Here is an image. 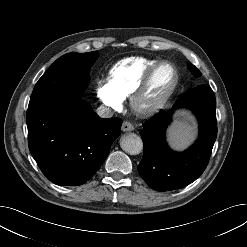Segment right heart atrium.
<instances>
[{"instance_id":"1","label":"right heart atrium","mask_w":247,"mask_h":247,"mask_svg":"<svg viewBox=\"0 0 247 247\" xmlns=\"http://www.w3.org/2000/svg\"><path fill=\"white\" fill-rule=\"evenodd\" d=\"M97 95L103 105L110 110H120L124 99L111 86L109 80H101L97 86Z\"/></svg>"}]
</instances>
